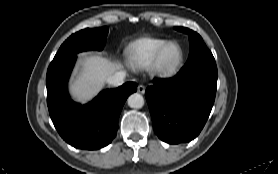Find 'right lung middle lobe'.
<instances>
[{
  "label": "right lung middle lobe",
  "instance_id": "1",
  "mask_svg": "<svg viewBox=\"0 0 278 174\" xmlns=\"http://www.w3.org/2000/svg\"><path fill=\"white\" fill-rule=\"evenodd\" d=\"M108 35V28L84 29L75 34H72L59 48L52 64L59 60L75 55L76 53L86 50H102L106 37Z\"/></svg>",
  "mask_w": 278,
  "mask_h": 174
}]
</instances>
